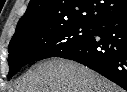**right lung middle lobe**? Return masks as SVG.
<instances>
[{
	"instance_id": "right-lung-middle-lobe-1",
	"label": "right lung middle lobe",
	"mask_w": 127,
	"mask_h": 92,
	"mask_svg": "<svg viewBox=\"0 0 127 92\" xmlns=\"http://www.w3.org/2000/svg\"><path fill=\"white\" fill-rule=\"evenodd\" d=\"M93 30L94 25L76 23L39 27L12 38L8 46V78L14 76L28 63L56 57L58 54L68 51L88 39Z\"/></svg>"
}]
</instances>
